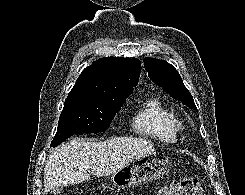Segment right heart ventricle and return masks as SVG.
Returning a JSON list of instances; mask_svg holds the SVG:
<instances>
[{
	"instance_id": "right-heart-ventricle-1",
	"label": "right heart ventricle",
	"mask_w": 245,
	"mask_h": 195,
	"mask_svg": "<svg viewBox=\"0 0 245 195\" xmlns=\"http://www.w3.org/2000/svg\"><path fill=\"white\" fill-rule=\"evenodd\" d=\"M173 118L172 113L160 100L147 98L132 111L130 129L134 134L147 139L173 142L176 139Z\"/></svg>"
}]
</instances>
